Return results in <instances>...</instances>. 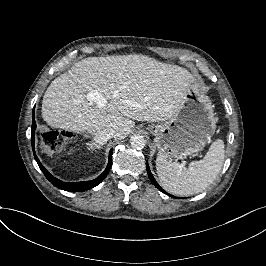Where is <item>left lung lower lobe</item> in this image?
Returning a JSON list of instances; mask_svg holds the SVG:
<instances>
[{
	"label": "left lung lower lobe",
	"instance_id": "obj_1",
	"mask_svg": "<svg viewBox=\"0 0 266 266\" xmlns=\"http://www.w3.org/2000/svg\"><path fill=\"white\" fill-rule=\"evenodd\" d=\"M146 169H147V173H148V176H149V178H150L152 184H153L154 186H156V187H157L160 191H162L163 193H165V194H167V195L173 197L172 195H170V194H168L167 192H165V191L159 186V184L156 182V180L154 179V177H153V175H152V173H151V171H150V168H149V166H148V163H146Z\"/></svg>",
	"mask_w": 266,
	"mask_h": 266
}]
</instances>
